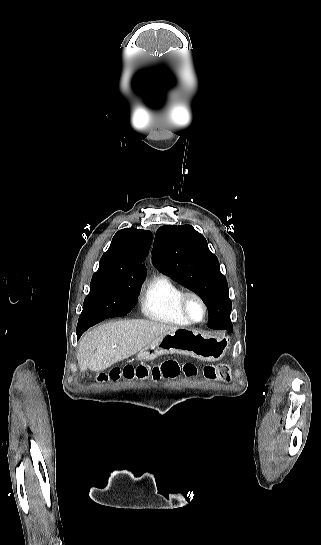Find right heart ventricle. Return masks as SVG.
Instances as JSON below:
<instances>
[{
  "instance_id": "right-heart-ventricle-1",
  "label": "right heart ventricle",
  "mask_w": 321,
  "mask_h": 545,
  "mask_svg": "<svg viewBox=\"0 0 321 545\" xmlns=\"http://www.w3.org/2000/svg\"><path fill=\"white\" fill-rule=\"evenodd\" d=\"M184 289L169 276L155 273L150 277L141 299V312L147 319L171 327L185 328L190 324L178 311V300Z\"/></svg>"
}]
</instances>
